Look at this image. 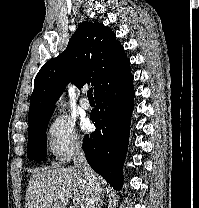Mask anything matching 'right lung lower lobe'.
Instances as JSON below:
<instances>
[{
    "label": "right lung lower lobe",
    "mask_w": 199,
    "mask_h": 208,
    "mask_svg": "<svg viewBox=\"0 0 199 208\" xmlns=\"http://www.w3.org/2000/svg\"><path fill=\"white\" fill-rule=\"evenodd\" d=\"M133 79L130 74L95 95L96 108L90 118L96 130L83 138L82 145L90 166L119 190L123 183V164L134 109Z\"/></svg>",
    "instance_id": "98d812e1"
}]
</instances>
